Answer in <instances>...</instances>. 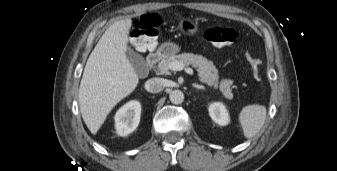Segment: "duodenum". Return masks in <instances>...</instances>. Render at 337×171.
Returning <instances> with one entry per match:
<instances>
[{"mask_svg":"<svg viewBox=\"0 0 337 171\" xmlns=\"http://www.w3.org/2000/svg\"><path fill=\"white\" fill-rule=\"evenodd\" d=\"M162 53L160 51L150 52L146 58V70L147 72L151 71L153 67L161 59Z\"/></svg>","mask_w":337,"mask_h":171,"instance_id":"410a0bca","label":"duodenum"}]
</instances>
